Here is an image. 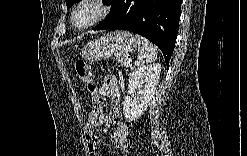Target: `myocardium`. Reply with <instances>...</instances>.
Instances as JSON below:
<instances>
[{
	"instance_id": "1",
	"label": "myocardium",
	"mask_w": 247,
	"mask_h": 156,
	"mask_svg": "<svg viewBox=\"0 0 247 156\" xmlns=\"http://www.w3.org/2000/svg\"><path fill=\"white\" fill-rule=\"evenodd\" d=\"M87 5L94 6L97 9V13L87 23L82 24V25H77L75 22V16L81 7L87 6ZM108 12H109V8H108L107 3L105 1H102V0H82L74 6V8L71 12L70 22H71L72 26L76 29H86V28L98 23L100 20H102L108 14Z\"/></svg>"
}]
</instances>
